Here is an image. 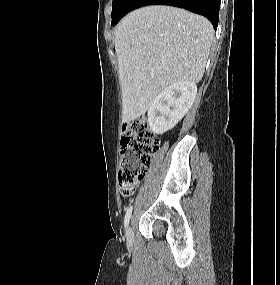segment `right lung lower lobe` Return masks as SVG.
<instances>
[{
	"instance_id": "1",
	"label": "right lung lower lobe",
	"mask_w": 280,
	"mask_h": 285,
	"mask_svg": "<svg viewBox=\"0 0 280 285\" xmlns=\"http://www.w3.org/2000/svg\"><path fill=\"white\" fill-rule=\"evenodd\" d=\"M148 5H170L184 8L205 16L214 29L218 26L220 0H137L132 10Z\"/></svg>"
}]
</instances>
